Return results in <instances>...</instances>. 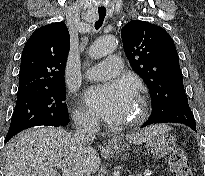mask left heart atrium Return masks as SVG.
Here are the masks:
<instances>
[{
	"label": "left heart atrium",
	"mask_w": 205,
	"mask_h": 176,
	"mask_svg": "<svg viewBox=\"0 0 205 176\" xmlns=\"http://www.w3.org/2000/svg\"><path fill=\"white\" fill-rule=\"evenodd\" d=\"M91 110L108 122L122 121L136 101L135 86L126 80H116L92 86L85 93Z\"/></svg>",
	"instance_id": "obj_1"
}]
</instances>
